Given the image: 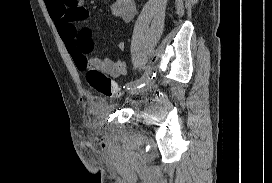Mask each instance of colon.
<instances>
[{
  "instance_id": "5ec220e1",
  "label": "colon",
  "mask_w": 272,
  "mask_h": 183,
  "mask_svg": "<svg viewBox=\"0 0 272 183\" xmlns=\"http://www.w3.org/2000/svg\"><path fill=\"white\" fill-rule=\"evenodd\" d=\"M86 79L90 87L104 97H114L121 94L119 87L103 72L88 68Z\"/></svg>"
}]
</instances>
